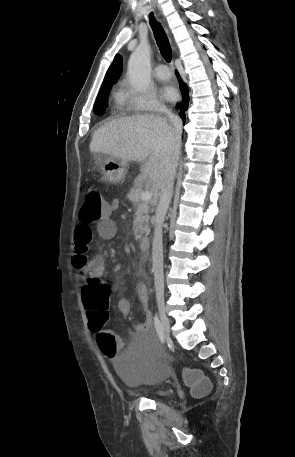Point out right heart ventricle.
<instances>
[{
    "label": "right heart ventricle",
    "mask_w": 295,
    "mask_h": 457,
    "mask_svg": "<svg viewBox=\"0 0 295 457\" xmlns=\"http://www.w3.org/2000/svg\"><path fill=\"white\" fill-rule=\"evenodd\" d=\"M114 98H115V103H116L118 108L122 109L126 105V103H125V94H124L123 91L118 90L115 93Z\"/></svg>",
    "instance_id": "1"
}]
</instances>
